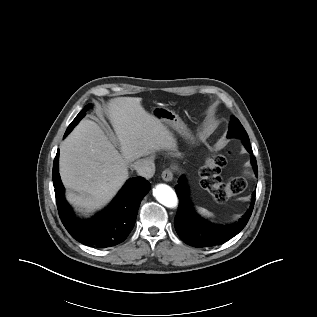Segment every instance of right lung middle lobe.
Instances as JSON below:
<instances>
[{
    "mask_svg": "<svg viewBox=\"0 0 317 317\" xmlns=\"http://www.w3.org/2000/svg\"><path fill=\"white\" fill-rule=\"evenodd\" d=\"M90 104L86 105L83 110L76 116V118L72 121V123L67 128L65 135L66 136L74 127L75 125L85 116L86 111L90 108Z\"/></svg>",
    "mask_w": 317,
    "mask_h": 317,
    "instance_id": "dd1d6c3e",
    "label": "right lung middle lobe"
}]
</instances>
